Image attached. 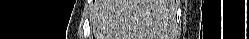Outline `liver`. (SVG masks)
I'll list each match as a JSON object with an SVG mask.
<instances>
[{
    "label": "liver",
    "instance_id": "liver-1",
    "mask_svg": "<svg viewBox=\"0 0 249 39\" xmlns=\"http://www.w3.org/2000/svg\"><path fill=\"white\" fill-rule=\"evenodd\" d=\"M94 20L96 39H164L172 0H101Z\"/></svg>",
    "mask_w": 249,
    "mask_h": 39
}]
</instances>
